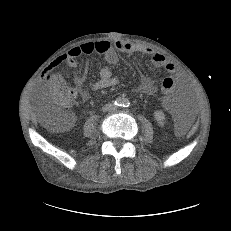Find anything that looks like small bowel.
Here are the masks:
<instances>
[{
	"instance_id": "small-bowel-1",
	"label": "small bowel",
	"mask_w": 231,
	"mask_h": 231,
	"mask_svg": "<svg viewBox=\"0 0 231 231\" xmlns=\"http://www.w3.org/2000/svg\"><path fill=\"white\" fill-rule=\"evenodd\" d=\"M118 53H124L127 55H133L136 53H144L150 56L152 64L156 67L164 68L167 72L174 75V77L179 81L183 79V73L177 68V66L167 60V58L153 49L150 48H139L127 42H115L111 43L109 41H97V42H88L80 46L70 49L66 54L58 57L54 60L46 70L47 75L58 67L61 64H64L67 67L73 68L76 67V59L81 55H90V54H101L104 56L105 61L112 65L118 61ZM88 65H86L84 71L75 76L74 82L77 86H81L87 74ZM119 80L112 73V70L105 66L100 70V78L96 81L90 90H83L80 93L82 99L86 100L90 97L91 93L94 91H99L107 88L117 86ZM57 85H53L51 89L55 88ZM153 85L148 83L145 87L146 92H152ZM165 93V92H164ZM171 93H165L163 98V105L170 109L172 96Z\"/></svg>"
}]
</instances>
